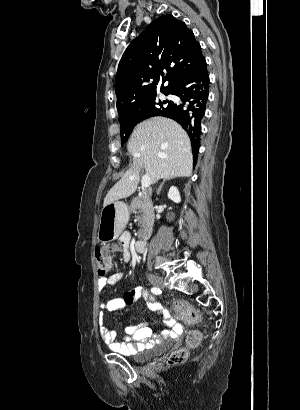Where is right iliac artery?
Wrapping results in <instances>:
<instances>
[{
  "instance_id": "obj_1",
  "label": "right iliac artery",
  "mask_w": 300,
  "mask_h": 410,
  "mask_svg": "<svg viewBox=\"0 0 300 410\" xmlns=\"http://www.w3.org/2000/svg\"><path fill=\"white\" fill-rule=\"evenodd\" d=\"M151 292H152L153 294H155V295H159V294L162 293V291H161L160 288H158V287H153V288H151Z\"/></svg>"
}]
</instances>
